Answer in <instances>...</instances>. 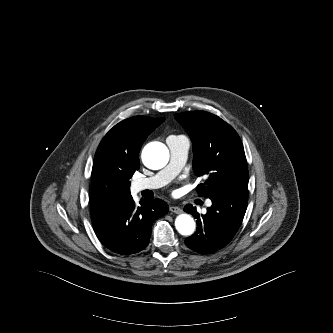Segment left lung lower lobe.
<instances>
[{"mask_svg": "<svg viewBox=\"0 0 333 333\" xmlns=\"http://www.w3.org/2000/svg\"><path fill=\"white\" fill-rule=\"evenodd\" d=\"M209 198L212 206L205 215L200 216L191 204L184 208L197 219V231L185 244L202 254L216 252L232 240L246 212L248 189L221 191Z\"/></svg>", "mask_w": 333, "mask_h": 333, "instance_id": "0a47b994", "label": "left lung lower lobe"}]
</instances>
